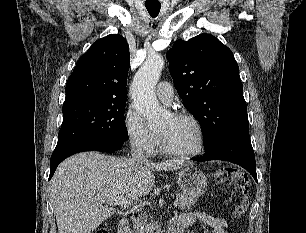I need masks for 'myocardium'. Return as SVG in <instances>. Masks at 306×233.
<instances>
[{"label":"myocardium","mask_w":306,"mask_h":233,"mask_svg":"<svg viewBox=\"0 0 306 233\" xmlns=\"http://www.w3.org/2000/svg\"><path fill=\"white\" fill-rule=\"evenodd\" d=\"M173 117L176 119H186L194 124L198 132V146L195 150L189 152L176 151L168 146L164 136L160 134L161 148L163 152L170 156L179 157V158H192L200 155L203 152L205 146V132L200 120L196 116L188 112H178L174 114Z\"/></svg>","instance_id":"f54148a6"}]
</instances>
